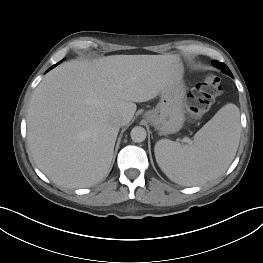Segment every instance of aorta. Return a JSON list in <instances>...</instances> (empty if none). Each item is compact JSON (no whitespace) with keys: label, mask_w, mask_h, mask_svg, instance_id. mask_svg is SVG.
Instances as JSON below:
<instances>
[{"label":"aorta","mask_w":263,"mask_h":263,"mask_svg":"<svg viewBox=\"0 0 263 263\" xmlns=\"http://www.w3.org/2000/svg\"><path fill=\"white\" fill-rule=\"evenodd\" d=\"M146 130L141 126H136L131 130L130 136L134 142L140 143L146 139Z\"/></svg>","instance_id":"obj_1"}]
</instances>
